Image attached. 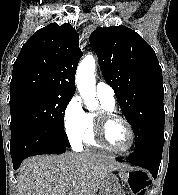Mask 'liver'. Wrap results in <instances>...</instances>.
Here are the masks:
<instances>
[{"mask_svg":"<svg viewBox=\"0 0 178 195\" xmlns=\"http://www.w3.org/2000/svg\"><path fill=\"white\" fill-rule=\"evenodd\" d=\"M127 170L112 157L93 153L40 155L18 170L17 195H96L112 170Z\"/></svg>","mask_w":178,"mask_h":195,"instance_id":"6515ba94","label":"liver"}]
</instances>
